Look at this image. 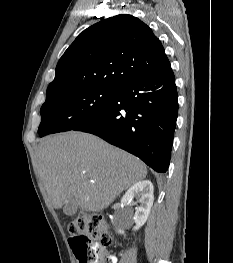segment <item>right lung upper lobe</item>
<instances>
[{
  "label": "right lung upper lobe",
  "mask_w": 233,
  "mask_h": 263,
  "mask_svg": "<svg viewBox=\"0 0 233 263\" xmlns=\"http://www.w3.org/2000/svg\"><path fill=\"white\" fill-rule=\"evenodd\" d=\"M170 67L161 41L145 23L117 15L79 34L60 58L46 97L87 87L117 89Z\"/></svg>",
  "instance_id": "cb5924a9"
}]
</instances>
